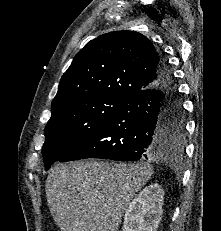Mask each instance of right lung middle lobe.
<instances>
[{"instance_id": "right-lung-middle-lobe-1", "label": "right lung middle lobe", "mask_w": 221, "mask_h": 231, "mask_svg": "<svg viewBox=\"0 0 221 231\" xmlns=\"http://www.w3.org/2000/svg\"><path fill=\"white\" fill-rule=\"evenodd\" d=\"M126 99L112 95L76 100L53 113L45 127L43 160L46 170L95 133ZM166 140L177 149L184 143V116L181 103L166 109Z\"/></svg>"}]
</instances>
